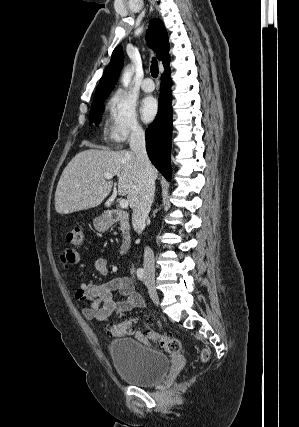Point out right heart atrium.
Masks as SVG:
<instances>
[{
	"label": "right heart atrium",
	"instance_id": "d8ad5b80",
	"mask_svg": "<svg viewBox=\"0 0 299 427\" xmlns=\"http://www.w3.org/2000/svg\"><path fill=\"white\" fill-rule=\"evenodd\" d=\"M108 122L106 135L114 145H122L128 139L143 133L134 102L122 91H115L106 104Z\"/></svg>",
	"mask_w": 299,
	"mask_h": 427
}]
</instances>
